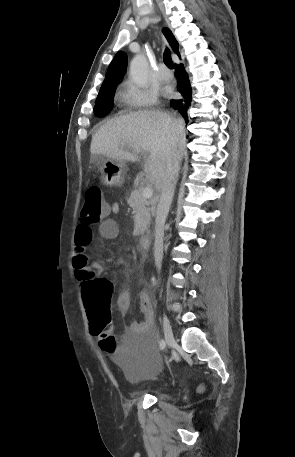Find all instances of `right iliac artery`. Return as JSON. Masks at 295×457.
<instances>
[{"instance_id": "1", "label": "right iliac artery", "mask_w": 295, "mask_h": 457, "mask_svg": "<svg viewBox=\"0 0 295 457\" xmlns=\"http://www.w3.org/2000/svg\"><path fill=\"white\" fill-rule=\"evenodd\" d=\"M159 347H160V349H164L165 348V341L163 339L160 341Z\"/></svg>"}]
</instances>
